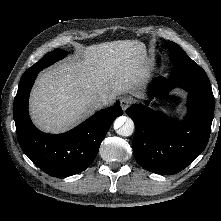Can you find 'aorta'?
<instances>
[{"instance_id": "aorta-1", "label": "aorta", "mask_w": 221, "mask_h": 221, "mask_svg": "<svg viewBox=\"0 0 221 221\" xmlns=\"http://www.w3.org/2000/svg\"><path fill=\"white\" fill-rule=\"evenodd\" d=\"M114 129L119 135L127 137L133 134L135 125L131 118L120 116L114 122Z\"/></svg>"}]
</instances>
